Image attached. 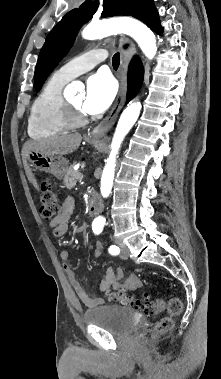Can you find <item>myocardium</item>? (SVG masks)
I'll return each instance as SVG.
<instances>
[{
	"label": "myocardium",
	"mask_w": 221,
	"mask_h": 379,
	"mask_svg": "<svg viewBox=\"0 0 221 379\" xmlns=\"http://www.w3.org/2000/svg\"><path fill=\"white\" fill-rule=\"evenodd\" d=\"M65 115L72 127L84 125L87 122L85 112L68 100H65Z\"/></svg>",
	"instance_id": "1"
}]
</instances>
